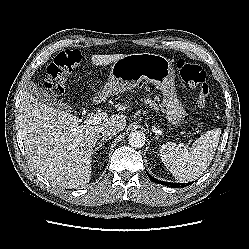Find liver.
<instances>
[{"label":"liver","instance_id":"obj_1","mask_svg":"<svg viewBox=\"0 0 249 249\" xmlns=\"http://www.w3.org/2000/svg\"><path fill=\"white\" fill-rule=\"evenodd\" d=\"M124 54L92 55L94 65H108ZM104 96L112 95L110 90ZM19 128L26 154L34 168L61 187L76 189L91 179V162L100 132L106 125L126 127V117L112 115L98 124H82L67 112L24 91L19 106Z\"/></svg>","mask_w":249,"mask_h":249}]
</instances>
